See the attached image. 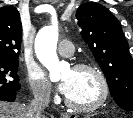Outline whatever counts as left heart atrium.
Listing matches in <instances>:
<instances>
[{
	"instance_id": "1",
	"label": "left heart atrium",
	"mask_w": 133,
	"mask_h": 118,
	"mask_svg": "<svg viewBox=\"0 0 133 118\" xmlns=\"http://www.w3.org/2000/svg\"><path fill=\"white\" fill-rule=\"evenodd\" d=\"M70 87H71L70 80L65 79L60 82L58 89L62 94L67 95L70 91Z\"/></svg>"
}]
</instances>
